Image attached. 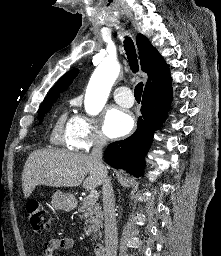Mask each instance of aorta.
I'll return each mask as SVG.
<instances>
[{"label":"aorta","instance_id":"1","mask_svg":"<svg viewBox=\"0 0 221 256\" xmlns=\"http://www.w3.org/2000/svg\"><path fill=\"white\" fill-rule=\"evenodd\" d=\"M119 72V63L112 60H104L95 69L88 83L84 100L87 113L96 115L103 109Z\"/></svg>","mask_w":221,"mask_h":256}]
</instances>
